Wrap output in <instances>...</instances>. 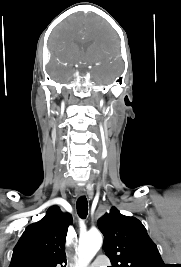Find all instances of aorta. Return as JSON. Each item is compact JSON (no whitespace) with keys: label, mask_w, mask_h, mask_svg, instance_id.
Here are the masks:
<instances>
[{"label":"aorta","mask_w":181,"mask_h":267,"mask_svg":"<svg viewBox=\"0 0 181 267\" xmlns=\"http://www.w3.org/2000/svg\"><path fill=\"white\" fill-rule=\"evenodd\" d=\"M103 243L102 234L95 230L89 231L79 239L78 257L81 267H86L99 251Z\"/></svg>","instance_id":"obj_1"}]
</instances>
